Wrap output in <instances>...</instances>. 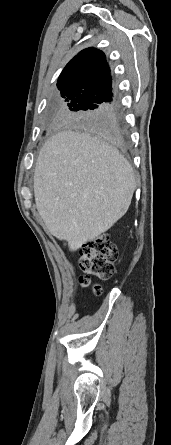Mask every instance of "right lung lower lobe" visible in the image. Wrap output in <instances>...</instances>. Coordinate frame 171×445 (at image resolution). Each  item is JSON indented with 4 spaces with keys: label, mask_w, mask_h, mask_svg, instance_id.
I'll return each instance as SVG.
<instances>
[{
    "label": "right lung lower lobe",
    "mask_w": 171,
    "mask_h": 445,
    "mask_svg": "<svg viewBox=\"0 0 171 445\" xmlns=\"http://www.w3.org/2000/svg\"><path fill=\"white\" fill-rule=\"evenodd\" d=\"M107 103H110V106L106 108L99 118L101 130L108 140L121 142L118 101L116 99Z\"/></svg>",
    "instance_id": "98d812e1"
}]
</instances>
